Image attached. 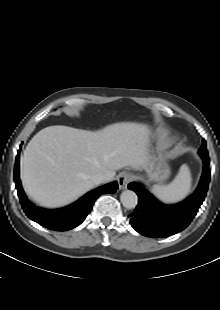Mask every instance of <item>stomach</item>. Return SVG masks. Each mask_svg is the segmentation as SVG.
I'll return each mask as SVG.
<instances>
[{"mask_svg": "<svg viewBox=\"0 0 220 310\" xmlns=\"http://www.w3.org/2000/svg\"><path fill=\"white\" fill-rule=\"evenodd\" d=\"M145 170L151 181L162 182L170 175L167 164L160 158H155L148 162L145 166Z\"/></svg>", "mask_w": 220, "mask_h": 310, "instance_id": "stomach-1", "label": "stomach"}]
</instances>
